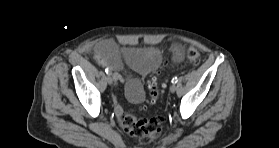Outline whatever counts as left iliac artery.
Returning <instances> with one entry per match:
<instances>
[{"mask_svg":"<svg viewBox=\"0 0 279 148\" xmlns=\"http://www.w3.org/2000/svg\"><path fill=\"white\" fill-rule=\"evenodd\" d=\"M178 82V78L177 77H174L173 79H172V83L173 84H176Z\"/></svg>","mask_w":279,"mask_h":148,"instance_id":"1","label":"left iliac artery"}]
</instances>
